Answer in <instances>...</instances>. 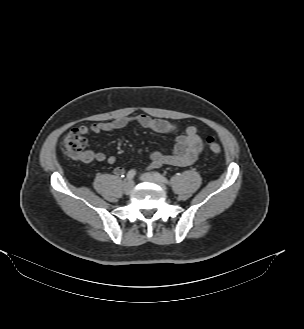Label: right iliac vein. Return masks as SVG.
<instances>
[{
	"label": "right iliac vein",
	"instance_id": "obj_1",
	"mask_svg": "<svg viewBox=\"0 0 304 329\" xmlns=\"http://www.w3.org/2000/svg\"><path fill=\"white\" fill-rule=\"evenodd\" d=\"M134 187V182L133 181H128L124 184V192L126 194H129Z\"/></svg>",
	"mask_w": 304,
	"mask_h": 329
}]
</instances>
